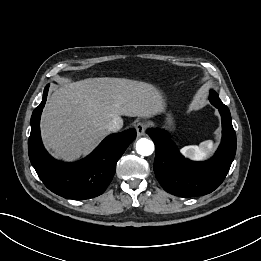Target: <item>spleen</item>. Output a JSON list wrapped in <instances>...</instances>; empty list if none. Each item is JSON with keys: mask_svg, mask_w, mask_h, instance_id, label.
I'll list each match as a JSON object with an SVG mask.
<instances>
[{"mask_svg": "<svg viewBox=\"0 0 261 261\" xmlns=\"http://www.w3.org/2000/svg\"><path fill=\"white\" fill-rule=\"evenodd\" d=\"M213 147H214L213 142L211 140H207L202 142L199 146L197 145L185 146L180 151L185 157L191 160L201 161L210 156Z\"/></svg>", "mask_w": 261, "mask_h": 261, "instance_id": "3e777b00", "label": "spleen"}]
</instances>
